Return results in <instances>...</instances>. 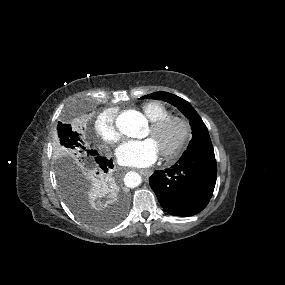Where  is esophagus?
<instances>
[{"mask_svg": "<svg viewBox=\"0 0 285 285\" xmlns=\"http://www.w3.org/2000/svg\"><path fill=\"white\" fill-rule=\"evenodd\" d=\"M139 172L146 177L151 176L153 173L151 169H141Z\"/></svg>", "mask_w": 285, "mask_h": 285, "instance_id": "1", "label": "esophagus"}]
</instances>
